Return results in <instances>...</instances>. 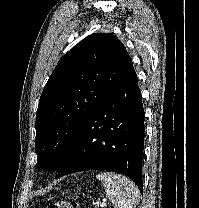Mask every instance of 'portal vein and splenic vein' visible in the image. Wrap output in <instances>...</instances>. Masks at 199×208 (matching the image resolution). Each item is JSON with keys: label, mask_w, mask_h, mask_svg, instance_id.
<instances>
[{"label": "portal vein and splenic vein", "mask_w": 199, "mask_h": 208, "mask_svg": "<svg viewBox=\"0 0 199 208\" xmlns=\"http://www.w3.org/2000/svg\"><path fill=\"white\" fill-rule=\"evenodd\" d=\"M100 206H101L102 208L106 207V206H107L106 200H103V201L100 203Z\"/></svg>", "instance_id": "portal-vein-and-splenic-vein-1"}]
</instances>
